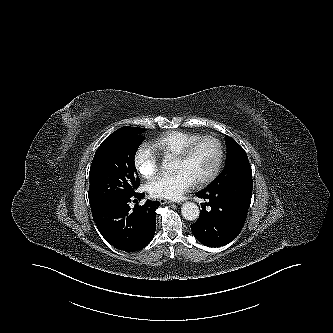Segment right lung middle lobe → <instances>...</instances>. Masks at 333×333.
Instances as JSON below:
<instances>
[{
	"mask_svg": "<svg viewBox=\"0 0 333 333\" xmlns=\"http://www.w3.org/2000/svg\"><path fill=\"white\" fill-rule=\"evenodd\" d=\"M146 129L122 127L109 135L97 149L89 172L91 207L131 195L139 186L134 157Z\"/></svg>",
	"mask_w": 333,
	"mask_h": 333,
	"instance_id": "1",
	"label": "right lung middle lobe"
}]
</instances>
